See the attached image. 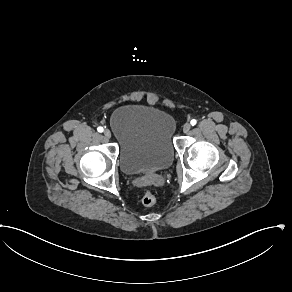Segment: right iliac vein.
<instances>
[{"instance_id":"right-iliac-vein-1","label":"right iliac vein","mask_w":292,"mask_h":292,"mask_svg":"<svg viewBox=\"0 0 292 292\" xmlns=\"http://www.w3.org/2000/svg\"><path fill=\"white\" fill-rule=\"evenodd\" d=\"M104 136L106 137V138H111V132H110V130L109 129H105L104 130Z\"/></svg>"}]
</instances>
